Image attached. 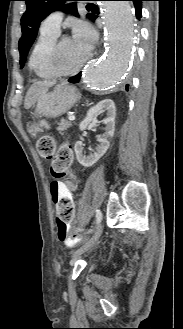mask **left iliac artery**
Wrapping results in <instances>:
<instances>
[{
	"label": "left iliac artery",
	"instance_id": "left-iliac-artery-1",
	"mask_svg": "<svg viewBox=\"0 0 183 329\" xmlns=\"http://www.w3.org/2000/svg\"><path fill=\"white\" fill-rule=\"evenodd\" d=\"M102 220V213L99 209H96V224L98 225Z\"/></svg>",
	"mask_w": 183,
	"mask_h": 329
}]
</instances>
